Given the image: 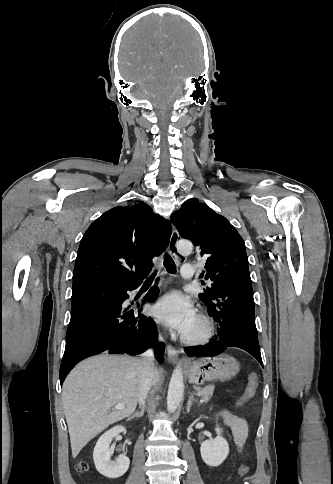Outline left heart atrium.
<instances>
[{"label":"left heart atrium","mask_w":333,"mask_h":484,"mask_svg":"<svg viewBox=\"0 0 333 484\" xmlns=\"http://www.w3.org/2000/svg\"><path fill=\"white\" fill-rule=\"evenodd\" d=\"M153 316L160 322L184 334L197 318L192 301L180 291L162 296L153 306Z\"/></svg>","instance_id":"39dd6f15"}]
</instances>
